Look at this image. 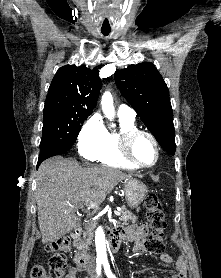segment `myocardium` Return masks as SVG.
I'll return each mask as SVG.
<instances>
[{"instance_id": "f54148a6", "label": "myocardium", "mask_w": 221, "mask_h": 278, "mask_svg": "<svg viewBox=\"0 0 221 278\" xmlns=\"http://www.w3.org/2000/svg\"><path fill=\"white\" fill-rule=\"evenodd\" d=\"M140 135L147 136L152 141V143L155 147L156 158H155V161L150 165L141 164V163L137 162L132 156L133 143H134L135 139ZM119 153L124 161H126L130 165L134 166L135 168L147 169V168L154 167L158 163V161L160 159V146H159L157 139L155 138V136L152 133L145 131V130H141V129H134V130L124 132L120 135V137H119Z\"/></svg>"}]
</instances>
